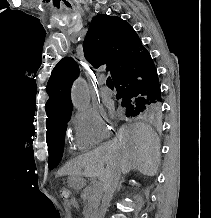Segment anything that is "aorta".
<instances>
[{
	"label": "aorta",
	"mask_w": 211,
	"mask_h": 218,
	"mask_svg": "<svg viewBox=\"0 0 211 218\" xmlns=\"http://www.w3.org/2000/svg\"><path fill=\"white\" fill-rule=\"evenodd\" d=\"M72 103L78 110H84L89 106L90 95L84 79L79 78L72 87Z\"/></svg>",
	"instance_id": "obj_1"
}]
</instances>
